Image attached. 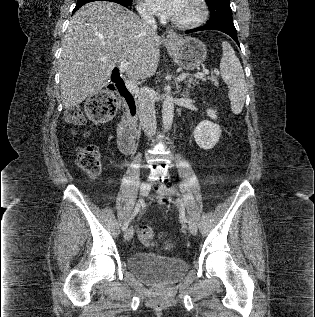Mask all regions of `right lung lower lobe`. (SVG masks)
<instances>
[{"mask_svg": "<svg viewBox=\"0 0 315 317\" xmlns=\"http://www.w3.org/2000/svg\"><path fill=\"white\" fill-rule=\"evenodd\" d=\"M112 2H115V3H118V4H120V5H123V6H125V7H129V6H131V5H128V4H125V3H122V2H118V1H112ZM84 4H86V3H84ZM84 4H77L76 5V7L74 8V10H73V13H75L81 6H83Z\"/></svg>", "mask_w": 315, "mask_h": 317, "instance_id": "obj_1", "label": "right lung lower lobe"}]
</instances>
